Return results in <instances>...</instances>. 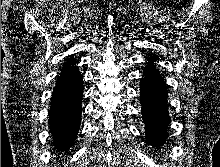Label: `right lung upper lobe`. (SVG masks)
Wrapping results in <instances>:
<instances>
[{
  "instance_id": "cb5924a9",
  "label": "right lung upper lobe",
  "mask_w": 220,
  "mask_h": 167,
  "mask_svg": "<svg viewBox=\"0 0 220 167\" xmlns=\"http://www.w3.org/2000/svg\"><path fill=\"white\" fill-rule=\"evenodd\" d=\"M74 63H75L74 58H70V59L67 60V62L65 63L64 66H66V65H71V64H74Z\"/></svg>"
}]
</instances>
